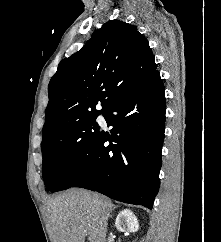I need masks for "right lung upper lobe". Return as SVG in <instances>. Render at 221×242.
Listing matches in <instances>:
<instances>
[{
	"instance_id": "right-lung-upper-lobe-1",
	"label": "right lung upper lobe",
	"mask_w": 221,
	"mask_h": 242,
	"mask_svg": "<svg viewBox=\"0 0 221 242\" xmlns=\"http://www.w3.org/2000/svg\"><path fill=\"white\" fill-rule=\"evenodd\" d=\"M156 68L148 40L135 26L108 21L81 50L60 62L48 87L43 136L82 116L104 113ZM98 101L101 111L95 109Z\"/></svg>"
}]
</instances>
